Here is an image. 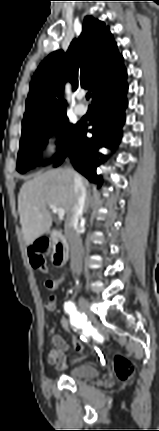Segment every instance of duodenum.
I'll return each mask as SVG.
<instances>
[{"instance_id": "duodenum-1", "label": "duodenum", "mask_w": 159, "mask_h": 431, "mask_svg": "<svg viewBox=\"0 0 159 431\" xmlns=\"http://www.w3.org/2000/svg\"><path fill=\"white\" fill-rule=\"evenodd\" d=\"M47 241V239H43ZM53 246V264L57 267L63 266L68 258V244L65 237L58 231H52L49 237Z\"/></svg>"}]
</instances>
